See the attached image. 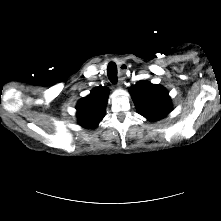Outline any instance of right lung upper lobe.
I'll return each instance as SVG.
<instances>
[{"label":"right lung upper lobe","instance_id":"obj_1","mask_svg":"<svg viewBox=\"0 0 221 221\" xmlns=\"http://www.w3.org/2000/svg\"><path fill=\"white\" fill-rule=\"evenodd\" d=\"M109 90L105 87H97L77 104L78 123L85 128H94L102 120L105 114L107 96Z\"/></svg>","mask_w":221,"mask_h":221}]
</instances>
